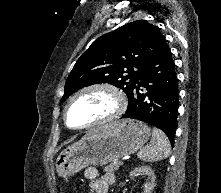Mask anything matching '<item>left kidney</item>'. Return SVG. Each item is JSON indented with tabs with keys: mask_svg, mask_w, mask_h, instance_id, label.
Instances as JSON below:
<instances>
[{
	"mask_svg": "<svg viewBox=\"0 0 221 193\" xmlns=\"http://www.w3.org/2000/svg\"><path fill=\"white\" fill-rule=\"evenodd\" d=\"M137 173H145L148 176L147 181L144 184V192L143 193H152V190L155 185V174H154L153 169L150 166L136 167L130 172V176L131 177L135 176ZM122 185H123V183H122Z\"/></svg>",
	"mask_w": 221,
	"mask_h": 193,
	"instance_id": "left-kidney-1",
	"label": "left kidney"
}]
</instances>
